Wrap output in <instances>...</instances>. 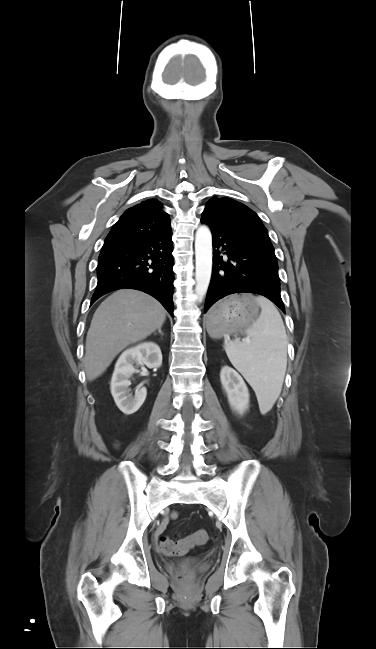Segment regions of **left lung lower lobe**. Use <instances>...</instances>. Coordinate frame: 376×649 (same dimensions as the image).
Returning <instances> with one entry per match:
<instances>
[{
	"label": "left lung lower lobe",
	"instance_id": "left-lung-lower-lobe-1",
	"mask_svg": "<svg viewBox=\"0 0 376 649\" xmlns=\"http://www.w3.org/2000/svg\"><path fill=\"white\" fill-rule=\"evenodd\" d=\"M213 238V269L204 312L219 299L233 293H255L270 299L284 313L274 250L214 223L202 215ZM227 258L220 256V252Z\"/></svg>",
	"mask_w": 376,
	"mask_h": 649
}]
</instances>
